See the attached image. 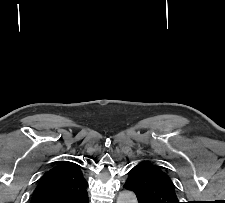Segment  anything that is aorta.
I'll return each instance as SVG.
<instances>
[{"instance_id":"aorta-1","label":"aorta","mask_w":225,"mask_h":203,"mask_svg":"<svg viewBox=\"0 0 225 203\" xmlns=\"http://www.w3.org/2000/svg\"><path fill=\"white\" fill-rule=\"evenodd\" d=\"M117 203H138V201L133 192L123 191L119 194Z\"/></svg>"}]
</instances>
